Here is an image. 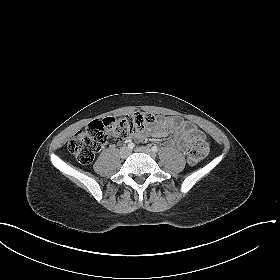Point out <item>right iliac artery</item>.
Instances as JSON below:
<instances>
[{
  "instance_id": "82829eb1",
  "label": "right iliac artery",
  "mask_w": 280,
  "mask_h": 280,
  "mask_svg": "<svg viewBox=\"0 0 280 280\" xmlns=\"http://www.w3.org/2000/svg\"><path fill=\"white\" fill-rule=\"evenodd\" d=\"M134 147H135L134 143L130 142V143L128 144V148H129V149H133Z\"/></svg>"
}]
</instances>
